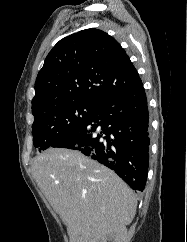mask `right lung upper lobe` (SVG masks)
Masks as SVG:
<instances>
[{
    "mask_svg": "<svg viewBox=\"0 0 187 242\" xmlns=\"http://www.w3.org/2000/svg\"><path fill=\"white\" fill-rule=\"evenodd\" d=\"M142 81L125 50L98 29L79 31L60 40L37 75L33 116L72 102L100 105L140 87Z\"/></svg>",
    "mask_w": 187,
    "mask_h": 242,
    "instance_id": "1",
    "label": "right lung upper lobe"
}]
</instances>
